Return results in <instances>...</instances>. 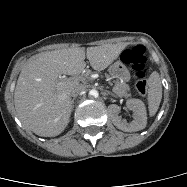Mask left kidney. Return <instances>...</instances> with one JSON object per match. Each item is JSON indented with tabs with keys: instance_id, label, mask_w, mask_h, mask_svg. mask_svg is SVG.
<instances>
[{
	"instance_id": "obj_1",
	"label": "left kidney",
	"mask_w": 187,
	"mask_h": 187,
	"mask_svg": "<svg viewBox=\"0 0 187 187\" xmlns=\"http://www.w3.org/2000/svg\"><path fill=\"white\" fill-rule=\"evenodd\" d=\"M126 106L133 112V120L127 123L125 119L119 117L121 108L112 104L108 107V112L113 124L120 130L126 132L139 131L145 128L147 123L146 108L144 103L139 99H129Z\"/></svg>"
}]
</instances>
